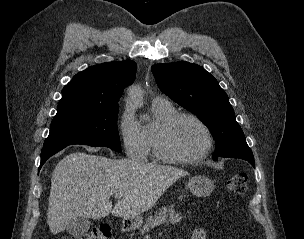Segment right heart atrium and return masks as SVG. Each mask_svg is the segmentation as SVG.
Listing matches in <instances>:
<instances>
[{
	"label": "right heart atrium",
	"mask_w": 304,
	"mask_h": 239,
	"mask_svg": "<svg viewBox=\"0 0 304 239\" xmlns=\"http://www.w3.org/2000/svg\"><path fill=\"white\" fill-rule=\"evenodd\" d=\"M118 131L126 154L133 159H144L147 155L145 134L130 107L123 110Z\"/></svg>",
	"instance_id": "obj_1"
}]
</instances>
